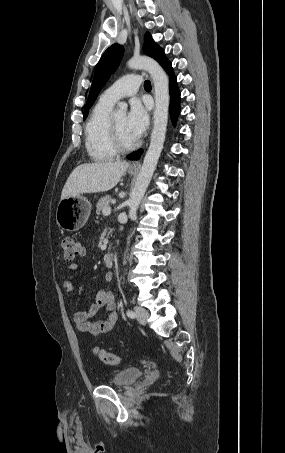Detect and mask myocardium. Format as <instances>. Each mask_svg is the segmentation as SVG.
<instances>
[{
  "instance_id": "myocardium-1",
  "label": "myocardium",
  "mask_w": 285,
  "mask_h": 453,
  "mask_svg": "<svg viewBox=\"0 0 285 453\" xmlns=\"http://www.w3.org/2000/svg\"><path fill=\"white\" fill-rule=\"evenodd\" d=\"M109 131L112 145L118 153L129 152L139 146L138 140L130 144H127L122 140L114 116H111L110 118Z\"/></svg>"
}]
</instances>
